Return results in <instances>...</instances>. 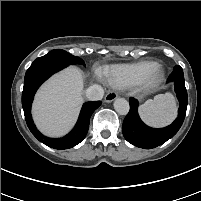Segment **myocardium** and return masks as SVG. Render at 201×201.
<instances>
[{
  "mask_svg": "<svg viewBox=\"0 0 201 201\" xmlns=\"http://www.w3.org/2000/svg\"><path fill=\"white\" fill-rule=\"evenodd\" d=\"M164 77V69L161 65L155 64L143 78V84L147 87L156 86Z\"/></svg>",
  "mask_w": 201,
  "mask_h": 201,
  "instance_id": "f54148a6",
  "label": "myocardium"
}]
</instances>
